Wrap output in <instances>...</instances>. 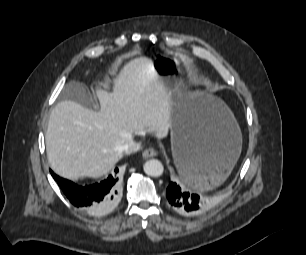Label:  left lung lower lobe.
<instances>
[{
  "instance_id": "left-lung-lower-lobe-1",
  "label": "left lung lower lobe",
  "mask_w": 306,
  "mask_h": 255,
  "mask_svg": "<svg viewBox=\"0 0 306 255\" xmlns=\"http://www.w3.org/2000/svg\"><path fill=\"white\" fill-rule=\"evenodd\" d=\"M207 174V169L193 159L185 158L181 166L182 179L201 180ZM166 197L170 206L178 213L186 216L198 215L204 212L209 200L204 196H199L196 193H189L175 182H170Z\"/></svg>"
}]
</instances>
